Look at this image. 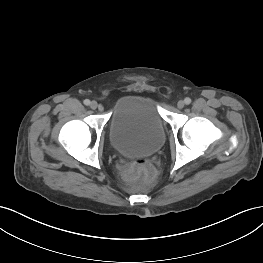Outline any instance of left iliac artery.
I'll use <instances>...</instances> for the list:
<instances>
[{
	"label": "left iliac artery",
	"instance_id": "left-iliac-artery-1",
	"mask_svg": "<svg viewBox=\"0 0 263 263\" xmlns=\"http://www.w3.org/2000/svg\"><path fill=\"white\" fill-rule=\"evenodd\" d=\"M184 102H185V104H190L191 103V99L189 98V97H186L185 99H184Z\"/></svg>",
	"mask_w": 263,
	"mask_h": 263
}]
</instances>
